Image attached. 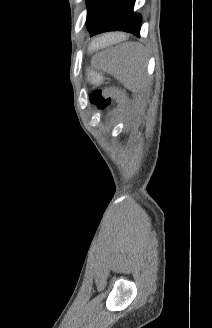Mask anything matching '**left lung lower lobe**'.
Listing matches in <instances>:
<instances>
[{"instance_id": "obj_1", "label": "left lung lower lobe", "mask_w": 212, "mask_h": 328, "mask_svg": "<svg viewBox=\"0 0 212 328\" xmlns=\"http://www.w3.org/2000/svg\"><path fill=\"white\" fill-rule=\"evenodd\" d=\"M135 0H107L90 36L108 31H124L140 37L142 18L133 12Z\"/></svg>"}]
</instances>
